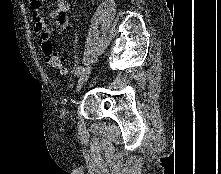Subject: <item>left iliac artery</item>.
Here are the masks:
<instances>
[{
    "label": "left iliac artery",
    "instance_id": "1",
    "mask_svg": "<svg viewBox=\"0 0 221 174\" xmlns=\"http://www.w3.org/2000/svg\"><path fill=\"white\" fill-rule=\"evenodd\" d=\"M83 70H84V68L82 66H79V67L76 68L75 74L77 76H79L83 72Z\"/></svg>",
    "mask_w": 221,
    "mask_h": 174
}]
</instances>
